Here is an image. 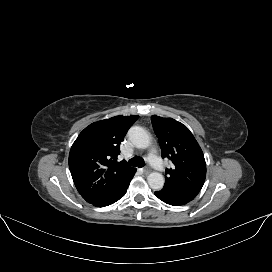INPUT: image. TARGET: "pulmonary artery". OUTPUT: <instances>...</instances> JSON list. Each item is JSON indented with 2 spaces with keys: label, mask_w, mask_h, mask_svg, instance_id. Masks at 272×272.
<instances>
[{
  "label": "pulmonary artery",
  "mask_w": 272,
  "mask_h": 272,
  "mask_svg": "<svg viewBox=\"0 0 272 272\" xmlns=\"http://www.w3.org/2000/svg\"><path fill=\"white\" fill-rule=\"evenodd\" d=\"M149 163L151 166L156 169L159 172H164L166 169L165 164L162 162V160L157 155L156 149H152L149 154Z\"/></svg>",
  "instance_id": "pulmonary-artery-1"
}]
</instances>
